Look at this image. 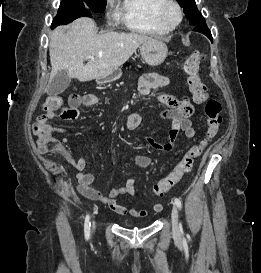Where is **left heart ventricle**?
<instances>
[{"mask_svg": "<svg viewBox=\"0 0 261 273\" xmlns=\"http://www.w3.org/2000/svg\"><path fill=\"white\" fill-rule=\"evenodd\" d=\"M177 18V12L175 9L170 8L166 12V19L168 22H174Z\"/></svg>", "mask_w": 261, "mask_h": 273, "instance_id": "b2bd125f", "label": "left heart ventricle"}]
</instances>
